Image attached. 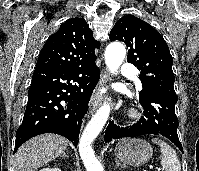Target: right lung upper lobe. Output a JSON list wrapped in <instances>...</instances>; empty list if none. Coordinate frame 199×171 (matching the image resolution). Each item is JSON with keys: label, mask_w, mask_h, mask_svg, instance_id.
<instances>
[{"label": "right lung upper lobe", "mask_w": 199, "mask_h": 171, "mask_svg": "<svg viewBox=\"0 0 199 171\" xmlns=\"http://www.w3.org/2000/svg\"><path fill=\"white\" fill-rule=\"evenodd\" d=\"M100 43L83 18H71L61 24L44 44L35 69L81 66L96 59Z\"/></svg>", "instance_id": "1"}]
</instances>
